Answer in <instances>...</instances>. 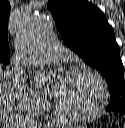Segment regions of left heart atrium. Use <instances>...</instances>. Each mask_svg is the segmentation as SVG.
I'll use <instances>...</instances> for the list:
<instances>
[{
    "instance_id": "39dd6f15",
    "label": "left heart atrium",
    "mask_w": 125,
    "mask_h": 128,
    "mask_svg": "<svg viewBox=\"0 0 125 128\" xmlns=\"http://www.w3.org/2000/svg\"><path fill=\"white\" fill-rule=\"evenodd\" d=\"M61 80H62V77H59V78L56 80V84L59 85L60 82H61ZM53 95H54V91H53Z\"/></svg>"
}]
</instances>
